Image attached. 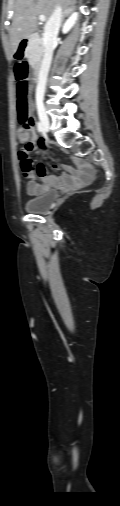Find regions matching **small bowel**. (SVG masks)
Wrapping results in <instances>:
<instances>
[{
    "instance_id": "1",
    "label": "small bowel",
    "mask_w": 120,
    "mask_h": 506,
    "mask_svg": "<svg viewBox=\"0 0 120 506\" xmlns=\"http://www.w3.org/2000/svg\"><path fill=\"white\" fill-rule=\"evenodd\" d=\"M33 134L36 139V135L34 132ZM39 148L44 153L45 143L40 142ZM19 158L23 174L28 180L27 192L31 196L40 195L48 188L56 185L68 187H81L91 182L94 178L93 169L90 168L89 166H86L85 163L79 159L75 160V167L72 165H64V169L67 171L68 174L71 175V177H69L67 174H61L60 176L55 177L48 174L47 169L45 168L41 160L35 162L30 157H23L21 154H19ZM36 176L41 179L42 184H37L34 181Z\"/></svg>"
}]
</instances>
